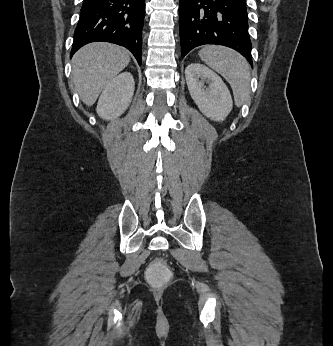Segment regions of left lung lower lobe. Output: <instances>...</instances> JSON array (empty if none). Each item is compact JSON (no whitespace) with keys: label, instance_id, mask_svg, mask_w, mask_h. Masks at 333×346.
<instances>
[{"label":"left lung lower lobe","instance_id":"0a47b994","mask_svg":"<svg viewBox=\"0 0 333 346\" xmlns=\"http://www.w3.org/2000/svg\"><path fill=\"white\" fill-rule=\"evenodd\" d=\"M181 55L204 44L230 47L252 65L246 0H180Z\"/></svg>","mask_w":333,"mask_h":346}]
</instances>
